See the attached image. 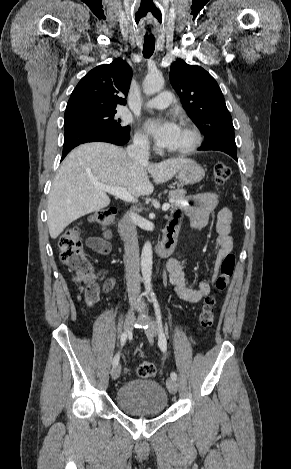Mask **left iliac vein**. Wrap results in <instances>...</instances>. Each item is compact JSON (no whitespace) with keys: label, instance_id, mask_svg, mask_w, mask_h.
I'll list each match as a JSON object with an SVG mask.
<instances>
[{"label":"left iliac vein","instance_id":"4c4485c4","mask_svg":"<svg viewBox=\"0 0 291 469\" xmlns=\"http://www.w3.org/2000/svg\"><path fill=\"white\" fill-rule=\"evenodd\" d=\"M143 311L146 312V307H143ZM145 333L149 339H152L158 334V328L153 320L149 321V326L145 329ZM166 385L171 394H175L177 392L178 385L174 379L168 378L166 381Z\"/></svg>","mask_w":291,"mask_h":469}]
</instances>
